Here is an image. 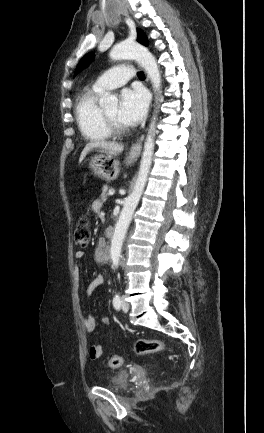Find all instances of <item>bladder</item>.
<instances>
[{
  "label": "bladder",
  "instance_id": "obj_1",
  "mask_svg": "<svg viewBox=\"0 0 264 433\" xmlns=\"http://www.w3.org/2000/svg\"><path fill=\"white\" fill-rule=\"evenodd\" d=\"M128 385V373L127 372H117L110 376L109 383L107 387L115 391H124Z\"/></svg>",
  "mask_w": 264,
  "mask_h": 433
}]
</instances>
